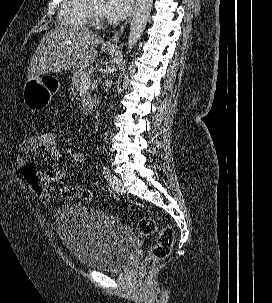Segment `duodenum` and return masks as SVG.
Segmentation results:
<instances>
[{
  "mask_svg": "<svg viewBox=\"0 0 272 303\" xmlns=\"http://www.w3.org/2000/svg\"><path fill=\"white\" fill-rule=\"evenodd\" d=\"M97 105H98V100H96V99L92 100V101L89 102V104L86 106V108H85V113H86V114L92 113V112L96 109Z\"/></svg>",
  "mask_w": 272,
  "mask_h": 303,
  "instance_id": "obj_1",
  "label": "duodenum"
}]
</instances>
